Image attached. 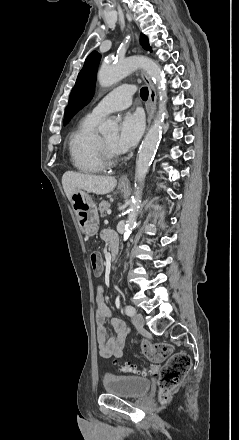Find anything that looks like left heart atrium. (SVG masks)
<instances>
[{
  "label": "left heart atrium",
  "instance_id": "1",
  "mask_svg": "<svg viewBox=\"0 0 239 440\" xmlns=\"http://www.w3.org/2000/svg\"><path fill=\"white\" fill-rule=\"evenodd\" d=\"M144 130V119L138 112H128L120 120L119 131L113 149L122 153L131 149L139 140Z\"/></svg>",
  "mask_w": 239,
  "mask_h": 440
}]
</instances>
